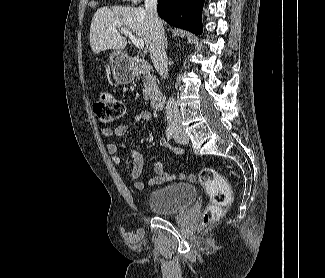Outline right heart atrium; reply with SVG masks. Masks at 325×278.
Instances as JSON below:
<instances>
[{"mask_svg":"<svg viewBox=\"0 0 325 278\" xmlns=\"http://www.w3.org/2000/svg\"><path fill=\"white\" fill-rule=\"evenodd\" d=\"M128 1H131L133 3H139L141 0H128Z\"/></svg>","mask_w":325,"mask_h":278,"instance_id":"d8ad5b80","label":"right heart atrium"}]
</instances>
